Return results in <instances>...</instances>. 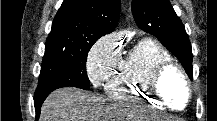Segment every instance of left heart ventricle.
<instances>
[{
    "label": "left heart ventricle",
    "mask_w": 217,
    "mask_h": 121,
    "mask_svg": "<svg viewBox=\"0 0 217 121\" xmlns=\"http://www.w3.org/2000/svg\"><path fill=\"white\" fill-rule=\"evenodd\" d=\"M161 89L170 103L180 108L186 101V89L183 80L175 72H169L161 81Z\"/></svg>",
    "instance_id": "1"
}]
</instances>
